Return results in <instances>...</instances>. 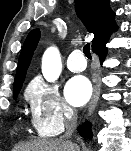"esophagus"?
I'll use <instances>...</instances> for the list:
<instances>
[{
	"label": "esophagus",
	"instance_id": "obj_1",
	"mask_svg": "<svg viewBox=\"0 0 131 151\" xmlns=\"http://www.w3.org/2000/svg\"><path fill=\"white\" fill-rule=\"evenodd\" d=\"M99 94H100V86L99 84H95L94 93L88 106L87 116H91L93 114L99 100Z\"/></svg>",
	"mask_w": 131,
	"mask_h": 151
}]
</instances>
